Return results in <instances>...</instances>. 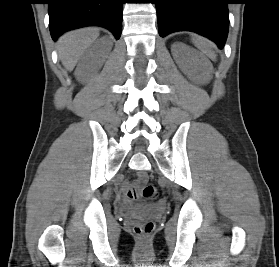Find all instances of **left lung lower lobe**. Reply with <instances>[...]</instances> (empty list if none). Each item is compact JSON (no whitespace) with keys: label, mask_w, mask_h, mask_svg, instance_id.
Listing matches in <instances>:
<instances>
[{"label":"left lung lower lobe","mask_w":279,"mask_h":267,"mask_svg":"<svg viewBox=\"0 0 279 267\" xmlns=\"http://www.w3.org/2000/svg\"><path fill=\"white\" fill-rule=\"evenodd\" d=\"M228 3L229 0H155L159 35L192 31L222 49L228 34Z\"/></svg>","instance_id":"0a47b994"}]
</instances>
